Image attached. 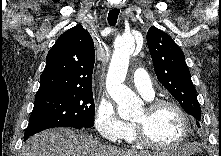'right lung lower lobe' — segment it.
<instances>
[{"label":"right lung lower lobe","mask_w":221,"mask_h":156,"mask_svg":"<svg viewBox=\"0 0 221 156\" xmlns=\"http://www.w3.org/2000/svg\"><path fill=\"white\" fill-rule=\"evenodd\" d=\"M73 128L82 129V128H84V127H73ZM28 138H29V136H28V137H24V140H26V139H28Z\"/></svg>","instance_id":"obj_1"}]
</instances>
